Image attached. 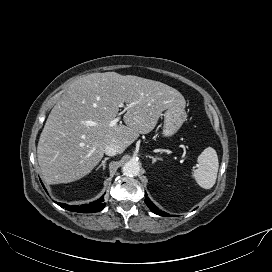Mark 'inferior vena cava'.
<instances>
[{
    "label": "inferior vena cava",
    "instance_id": "602c4592",
    "mask_svg": "<svg viewBox=\"0 0 272 272\" xmlns=\"http://www.w3.org/2000/svg\"><path fill=\"white\" fill-rule=\"evenodd\" d=\"M104 153L109 156H115L116 154L119 153V149L116 145L110 144L105 147Z\"/></svg>",
    "mask_w": 272,
    "mask_h": 272
}]
</instances>
